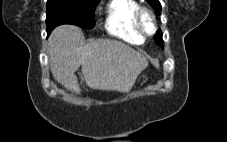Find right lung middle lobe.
<instances>
[{"label": "right lung middle lobe", "instance_id": "1", "mask_svg": "<svg viewBox=\"0 0 227 142\" xmlns=\"http://www.w3.org/2000/svg\"><path fill=\"white\" fill-rule=\"evenodd\" d=\"M99 0H48L46 27L48 35L61 24H73L92 29L94 11Z\"/></svg>", "mask_w": 227, "mask_h": 142}]
</instances>
